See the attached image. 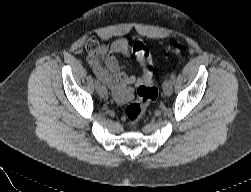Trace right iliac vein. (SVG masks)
<instances>
[{"label": "right iliac vein", "instance_id": "right-iliac-vein-1", "mask_svg": "<svg viewBox=\"0 0 251 192\" xmlns=\"http://www.w3.org/2000/svg\"><path fill=\"white\" fill-rule=\"evenodd\" d=\"M98 91V94L101 96V97H106L108 92H107V88L104 86V85H100L97 89Z\"/></svg>", "mask_w": 251, "mask_h": 192}]
</instances>
